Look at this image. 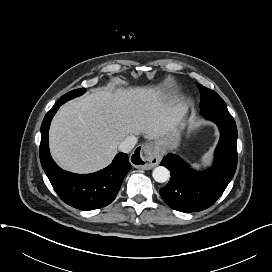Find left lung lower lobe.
<instances>
[{"label": "left lung lower lobe", "mask_w": 272, "mask_h": 272, "mask_svg": "<svg viewBox=\"0 0 272 272\" xmlns=\"http://www.w3.org/2000/svg\"><path fill=\"white\" fill-rule=\"evenodd\" d=\"M201 113L214 121L220 130L213 167L196 172L173 154L161 161V165L171 171V179L160 189V195L172 209L186 213L212 206L223 194L237 167V127L227 107H211Z\"/></svg>", "instance_id": "left-lung-lower-lobe-1"}]
</instances>
